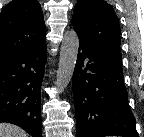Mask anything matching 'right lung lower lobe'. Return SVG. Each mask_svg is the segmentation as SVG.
I'll return each instance as SVG.
<instances>
[{"instance_id":"right-lung-lower-lobe-1","label":"right lung lower lobe","mask_w":144,"mask_h":137,"mask_svg":"<svg viewBox=\"0 0 144 137\" xmlns=\"http://www.w3.org/2000/svg\"><path fill=\"white\" fill-rule=\"evenodd\" d=\"M47 57L45 39L0 63V122L42 136L41 83Z\"/></svg>"}]
</instances>
